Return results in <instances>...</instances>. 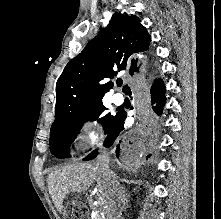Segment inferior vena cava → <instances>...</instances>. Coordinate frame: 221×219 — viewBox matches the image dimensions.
<instances>
[{
	"mask_svg": "<svg viewBox=\"0 0 221 219\" xmlns=\"http://www.w3.org/2000/svg\"><path fill=\"white\" fill-rule=\"evenodd\" d=\"M96 164L102 175L108 176L111 180L110 191H114V199L106 211V219H123L122 211L126 203V195L120 188V180L118 175H114L109 169V152L105 148H101L97 157Z\"/></svg>",
	"mask_w": 221,
	"mask_h": 219,
	"instance_id": "1",
	"label": "inferior vena cava"
}]
</instances>
